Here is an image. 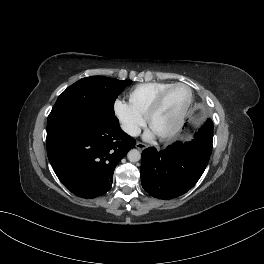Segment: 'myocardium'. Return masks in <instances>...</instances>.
Returning a JSON list of instances; mask_svg holds the SVG:
<instances>
[{"label":"myocardium","instance_id":"f54148a6","mask_svg":"<svg viewBox=\"0 0 264 264\" xmlns=\"http://www.w3.org/2000/svg\"><path fill=\"white\" fill-rule=\"evenodd\" d=\"M175 87L186 88L188 91V99H187L182 111L180 112L176 122L165 132L157 134V136L161 139H166V138L172 137L181 129V127L185 121V118L187 116L188 110L190 108L191 102H192V96L193 95H192L191 88L187 84L181 83V82L172 83V84L168 85L167 87L162 89L156 95V97L154 98V100L152 101L151 105L149 106V108L147 109V111L145 113L146 124L151 128V120H152L153 116L159 110L166 94Z\"/></svg>","mask_w":264,"mask_h":264}]
</instances>
